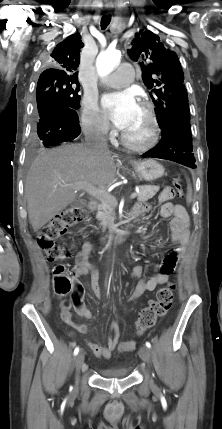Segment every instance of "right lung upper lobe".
Wrapping results in <instances>:
<instances>
[{"label": "right lung upper lobe", "mask_w": 222, "mask_h": 429, "mask_svg": "<svg viewBox=\"0 0 222 429\" xmlns=\"http://www.w3.org/2000/svg\"><path fill=\"white\" fill-rule=\"evenodd\" d=\"M84 44L79 34H73L59 43L50 55L51 68L42 72L39 78L78 79L77 67L80 63V50Z\"/></svg>", "instance_id": "obj_1"}]
</instances>
